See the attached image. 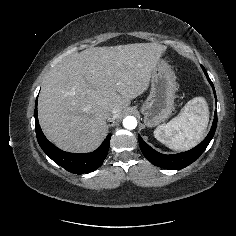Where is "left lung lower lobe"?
<instances>
[{"label": "left lung lower lobe", "instance_id": "1", "mask_svg": "<svg viewBox=\"0 0 236 236\" xmlns=\"http://www.w3.org/2000/svg\"><path fill=\"white\" fill-rule=\"evenodd\" d=\"M201 67L209 83L211 84L213 88L214 96L216 98V93H215L213 83L210 80L205 68L202 65ZM216 126H217V111H215L213 124L206 138L193 149L183 152V153L173 154V155L161 154L155 151L154 149H152L147 143H145L140 137V135L138 136L139 146L143 155L152 164L159 166L161 168H166V169H182L190 165L191 163H193L195 160H197L200 157V155L205 151V149L207 148L208 144L210 143L211 139L214 136V133L216 131Z\"/></svg>", "mask_w": 236, "mask_h": 236}]
</instances>
